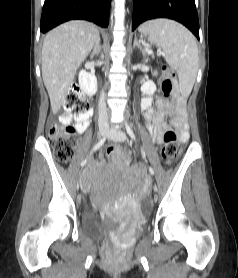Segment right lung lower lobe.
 <instances>
[{"label":"right lung lower lobe","instance_id":"right-lung-lower-lobe-1","mask_svg":"<svg viewBox=\"0 0 238 278\" xmlns=\"http://www.w3.org/2000/svg\"><path fill=\"white\" fill-rule=\"evenodd\" d=\"M111 0H45L40 30L46 33L57 25L83 19L107 27Z\"/></svg>","mask_w":238,"mask_h":278}]
</instances>
